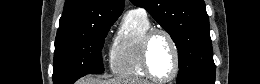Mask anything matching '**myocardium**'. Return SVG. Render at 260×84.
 <instances>
[{"label":"myocardium","mask_w":260,"mask_h":84,"mask_svg":"<svg viewBox=\"0 0 260 84\" xmlns=\"http://www.w3.org/2000/svg\"><path fill=\"white\" fill-rule=\"evenodd\" d=\"M159 34L165 36L169 40V42L172 46V49H173V53H174L173 73L171 74L170 77L164 78V79L157 77L153 73V71L151 70V67H150V62H149L151 42L154 39V37ZM141 63H142V68H143L145 74L154 82L164 84V83H170V82L174 81L179 74L181 61H180L179 48H178V45H177L174 37L172 36V34L162 28L152 27L151 29H149L143 36V39L141 42Z\"/></svg>","instance_id":"myocardium-1"}]
</instances>
